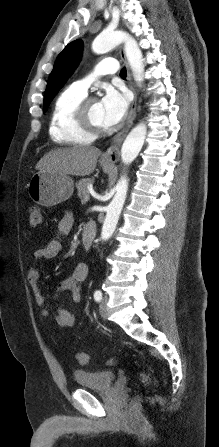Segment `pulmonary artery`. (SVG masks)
Here are the masks:
<instances>
[{
  "label": "pulmonary artery",
  "instance_id": "1",
  "mask_svg": "<svg viewBox=\"0 0 219 447\" xmlns=\"http://www.w3.org/2000/svg\"><path fill=\"white\" fill-rule=\"evenodd\" d=\"M117 70L118 65L115 60L105 59L96 66L94 74L74 82L71 87L85 95L91 83L94 81L95 76L113 75L117 72Z\"/></svg>",
  "mask_w": 219,
  "mask_h": 447
}]
</instances>
